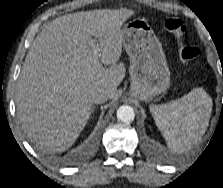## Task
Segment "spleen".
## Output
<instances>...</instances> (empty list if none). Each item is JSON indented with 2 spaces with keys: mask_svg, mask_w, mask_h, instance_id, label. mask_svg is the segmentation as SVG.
I'll use <instances>...</instances> for the list:
<instances>
[{
  "mask_svg": "<svg viewBox=\"0 0 223 188\" xmlns=\"http://www.w3.org/2000/svg\"><path fill=\"white\" fill-rule=\"evenodd\" d=\"M155 124L169 148L185 151L205 133L212 111V98L195 88L183 97L161 105H151Z\"/></svg>",
  "mask_w": 223,
  "mask_h": 188,
  "instance_id": "1",
  "label": "spleen"
}]
</instances>
